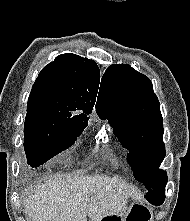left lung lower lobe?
<instances>
[{"instance_id":"1","label":"left lung lower lobe","mask_w":190,"mask_h":221,"mask_svg":"<svg viewBox=\"0 0 190 221\" xmlns=\"http://www.w3.org/2000/svg\"><path fill=\"white\" fill-rule=\"evenodd\" d=\"M165 199V186L159 187L154 194L147 199L149 202H151L153 205H161L163 204Z\"/></svg>"}]
</instances>
